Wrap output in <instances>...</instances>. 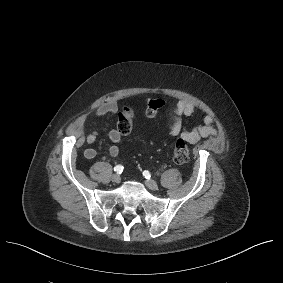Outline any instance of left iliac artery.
Segmentation results:
<instances>
[{"label": "left iliac artery", "instance_id": "left-iliac-artery-1", "mask_svg": "<svg viewBox=\"0 0 283 283\" xmlns=\"http://www.w3.org/2000/svg\"><path fill=\"white\" fill-rule=\"evenodd\" d=\"M143 175L145 176L146 179H149L151 177L149 171L146 170L143 172Z\"/></svg>", "mask_w": 283, "mask_h": 283}]
</instances>
